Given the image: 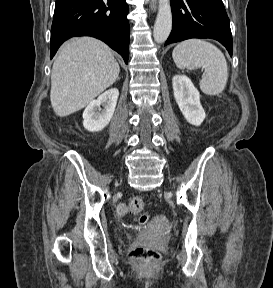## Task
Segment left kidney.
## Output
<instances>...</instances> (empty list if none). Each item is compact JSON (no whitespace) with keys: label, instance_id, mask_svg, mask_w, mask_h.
Returning a JSON list of instances; mask_svg holds the SVG:
<instances>
[{"label":"left kidney","instance_id":"obj_1","mask_svg":"<svg viewBox=\"0 0 273 288\" xmlns=\"http://www.w3.org/2000/svg\"><path fill=\"white\" fill-rule=\"evenodd\" d=\"M173 93L184 118L192 125L200 126L206 114L200 103V94L192 81L185 75L172 79Z\"/></svg>","mask_w":273,"mask_h":288}]
</instances>
